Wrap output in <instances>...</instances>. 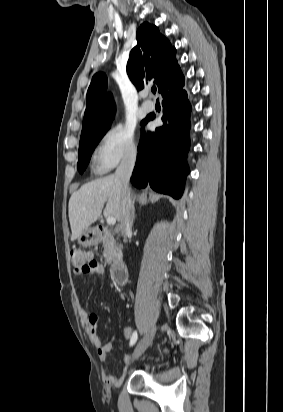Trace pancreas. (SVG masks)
Segmentation results:
<instances>
[{"mask_svg":"<svg viewBox=\"0 0 283 412\" xmlns=\"http://www.w3.org/2000/svg\"><path fill=\"white\" fill-rule=\"evenodd\" d=\"M103 246H104L103 256L105 258V262L108 264H111L119 256L120 250L115 245L114 241L108 238L104 240Z\"/></svg>","mask_w":283,"mask_h":412,"instance_id":"cf45deb5","label":"pancreas"}]
</instances>
